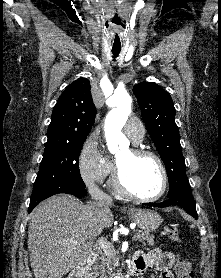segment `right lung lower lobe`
<instances>
[{
  "instance_id": "98d812e1",
  "label": "right lung lower lobe",
  "mask_w": 221,
  "mask_h": 278,
  "mask_svg": "<svg viewBox=\"0 0 221 278\" xmlns=\"http://www.w3.org/2000/svg\"><path fill=\"white\" fill-rule=\"evenodd\" d=\"M58 193H67L76 197H83L87 194V191L85 190V185H79L72 182H60L51 185L36 195L31 196L28 212H31L32 209L42 200Z\"/></svg>"
}]
</instances>
